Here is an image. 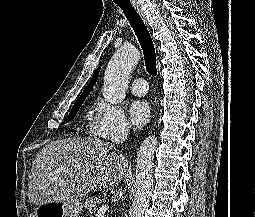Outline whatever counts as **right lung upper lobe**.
Here are the masks:
<instances>
[{"instance_id":"1","label":"right lung upper lobe","mask_w":255,"mask_h":217,"mask_svg":"<svg viewBox=\"0 0 255 217\" xmlns=\"http://www.w3.org/2000/svg\"><path fill=\"white\" fill-rule=\"evenodd\" d=\"M99 71H100V67L95 71V73L93 74L92 76V79L91 81L89 82V84L86 86V88L84 89L83 93L81 94L84 95V94H87V93H90L93 86L96 84L97 82V79H98V75H99Z\"/></svg>"}]
</instances>
